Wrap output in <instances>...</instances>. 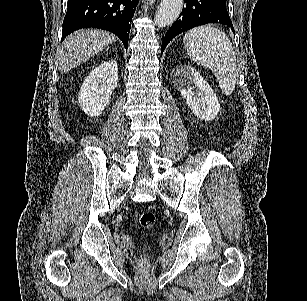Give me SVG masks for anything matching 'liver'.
Instances as JSON below:
<instances>
[{
  "instance_id": "6515ba94",
  "label": "liver",
  "mask_w": 307,
  "mask_h": 301,
  "mask_svg": "<svg viewBox=\"0 0 307 301\" xmlns=\"http://www.w3.org/2000/svg\"><path fill=\"white\" fill-rule=\"evenodd\" d=\"M116 40L115 34L98 28L75 30L66 36L61 48H58L55 62L60 72H68Z\"/></svg>"
}]
</instances>
